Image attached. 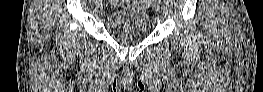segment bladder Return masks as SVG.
<instances>
[{
  "instance_id": "bladder-1",
  "label": "bladder",
  "mask_w": 263,
  "mask_h": 92,
  "mask_svg": "<svg viewBox=\"0 0 263 92\" xmlns=\"http://www.w3.org/2000/svg\"><path fill=\"white\" fill-rule=\"evenodd\" d=\"M126 3L130 5L112 9L107 14L105 27L109 35L120 43H138L150 33V19L140 1Z\"/></svg>"
}]
</instances>
